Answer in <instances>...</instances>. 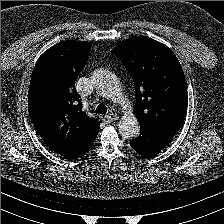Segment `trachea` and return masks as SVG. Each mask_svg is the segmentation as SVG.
<instances>
[{
    "mask_svg": "<svg viewBox=\"0 0 224 224\" xmlns=\"http://www.w3.org/2000/svg\"><path fill=\"white\" fill-rule=\"evenodd\" d=\"M95 112L99 113V114H105L107 112V108H106L105 105L100 104V105L97 106Z\"/></svg>",
    "mask_w": 224,
    "mask_h": 224,
    "instance_id": "obj_1",
    "label": "trachea"
}]
</instances>
